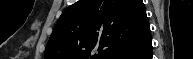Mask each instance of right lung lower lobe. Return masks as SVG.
<instances>
[{
  "mask_svg": "<svg viewBox=\"0 0 193 59\" xmlns=\"http://www.w3.org/2000/svg\"><path fill=\"white\" fill-rule=\"evenodd\" d=\"M112 59H152L151 33L130 47L124 49Z\"/></svg>",
  "mask_w": 193,
  "mask_h": 59,
  "instance_id": "right-lung-lower-lobe-1",
  "label": "right lung lower lobe"
}]
</instances>
